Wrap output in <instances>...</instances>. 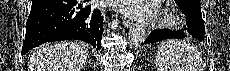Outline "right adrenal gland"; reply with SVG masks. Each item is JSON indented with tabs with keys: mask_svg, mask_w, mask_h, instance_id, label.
<instances>
[{
	"mask_svg": "<svg viewBox=\"0 0 230 71\" xmlns=\"http://www.w3.org/2000/svg\"><path fill=\"white\" fill-rule=\"evenodd\" d=\"M89 64H92V63H91V60L89 61Z\"/></svg>",
	"mask_w": 230,
	"mask_h": 71,
	"instance_id": "1",
	"label": "right adrenal gland"
}]
</instances>
